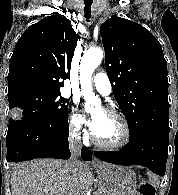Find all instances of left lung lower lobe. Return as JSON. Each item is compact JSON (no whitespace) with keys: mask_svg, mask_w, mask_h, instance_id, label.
<instances>
[{"mask_svg":"<svg viewBox=\"0 0 178 195\" xmlns=\"http://www.w3.org/2000/svg\"><path fill=\"white\" fill-rule=\"evenodd\" d=\"M168 138L169 128L145 130L130 138L129 143L119 151H98L94 155L113 164L142 165L163 176L168 158Z\"/></svg>","mask_w":178,"mask_h":195,"instance_id":"obj_1","label":"left lung lower lobe"}]
</instances>
